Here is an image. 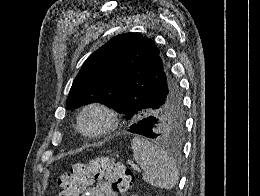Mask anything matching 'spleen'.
Wrapping results in <instances>:
<instances>
[{
	"label": "spleen",
	"mask_w": 260,
	"mask_h": 196,
	"mask_svg": "<svg viewBox=\"0 0 260 196\" xmlns=\"http://www.w3.org/2000/svg\"><path fill=\"white\" fill-rule=\"evenodd\" d=\"M133 156L140 168L144 170L143 180L156 188L171 190L178 182V168L167 152L151 144L141 136L132 140Z\"/></svg>",
	"instance_id": "1"
}]
</instances>
